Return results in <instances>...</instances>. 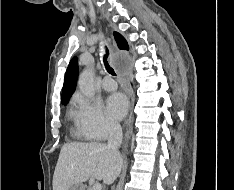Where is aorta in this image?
<instances>
[{
  "label": "aorta",
  "instance_id": "obj_1",
  "mask_svg": "<svg viewBox=\"0 0 234 190\" xmlns=\"http://www.w3.org/2000/svg\"><path fill=\"white\" fill-rule=\"evenodd\" d=\"M78 86L83 95L92 97L94 91V76L91 69H85L79 76Z\"/></svg>",
  "mask_w": 234,
  "mask_h": 190
}]
</instances>
